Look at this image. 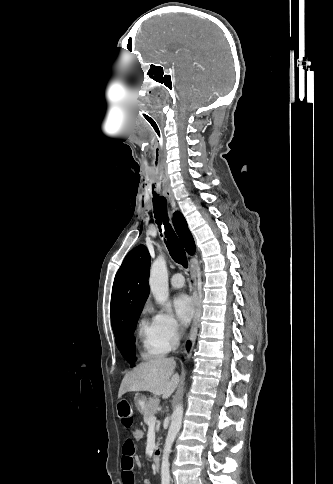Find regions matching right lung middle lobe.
<instances>
[{
	"label": "right lung middle lobe",
	"instance_id": "obj_1",
	"mask_svg": "<svg viewBox=\"0 0 333 484\" xmlns=\"http://www.w3.org/2000/svg\"><path fill=\"white\" fill-rule=\"evenodd\" d=\"M140 311L131 313L115 331L116 344L122 355L129 361L131 367L136 362L134 329Z\"/></svg>",
	"mask_w": 333,
	"mask_h": 484
}]
</instances>
